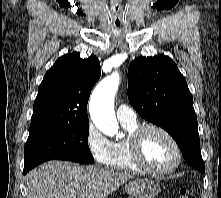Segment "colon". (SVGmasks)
<instances>
[{
  "label": "colon",
  "mask_w": 221,
  "mask_h": 198,
  "mask_svg": "<svg viewBox=\"0 0 221 198\" xmlns=\"http://www.w3.org/2000/svg\"><path fill=\"white\" fill-rule=\"evenodd\" d=\"M177 198H189V192L187 189H181Z\"/></svg>",
  "instance_id": "5ec220e1"
}]
</instances>
